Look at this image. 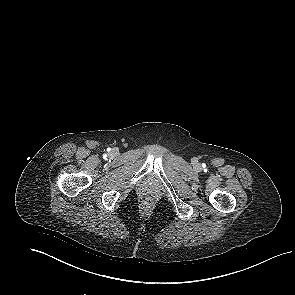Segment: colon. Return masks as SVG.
Returning a JSON list of instances; mask_svg holds the SVG:
<instances>
[{"instance_id":"5ec220e1","label":"colon","mask_w":295,"mask_h":295,"mask_svg":"<svg viewBox=\"0 0 295 295\" xmlns=\"http://www.w3.org/2000/svg\"><path fill=\"white\" fill-rule=\"evenodd\" d=\"M152 199L150 197L146 198V203H150Z\"/></svg>"}]
</instances>
